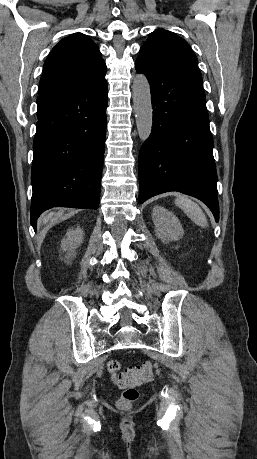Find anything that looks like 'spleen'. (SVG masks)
Masks as SVG:
<instances>
[{
    "instance_id": "spleen-1",
    "label": "spleen",
    "mask_w": 257,
    "mask_h": 459,
    "mask_svg": "<svg viewBox=\"0 0 257 459\" xmlns=\"http://www.w3.org/2000/svg\"><path fill=\"white\" fill-rule=\"evenodd\" d=\"M175 204L181 208L196 225L202 228L208 226V221L203 210L188 196L178 195L175 199Z\"/></svg>"
}]
</instances>
